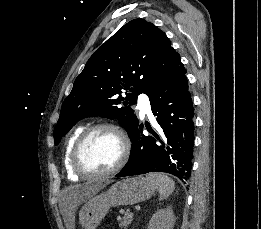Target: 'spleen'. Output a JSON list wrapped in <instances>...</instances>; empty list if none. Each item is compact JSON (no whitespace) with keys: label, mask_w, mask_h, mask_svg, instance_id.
Returning a JSON list of instances; mask_svg holds the SVG:
<instances>
[{"label":"spleen","mask_w":261,"mask_h":229,"mask_svg":"<svg viewBox=\"0 0 261 229\" xmlns=\"http://www.w3.org/2000/svg\"><path fill=\"white\" fill-rule=\"evenodd\" d=\"M146 177L156 185V189L159 191L160 201H162V199H168L169 195L173 193L175 183L170 177H167V173H147Z\"/></svg>","instance_id":"obj_1"}]
</instances>
